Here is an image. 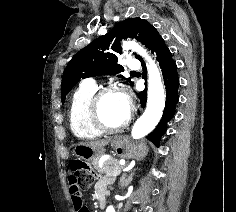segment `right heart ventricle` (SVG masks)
Wrapping results in <instances>:
<instances>
[{
    "instance_id": "1",
    "label": "right heart ventricle",
    "mask_w": 236,
    "mask_h": 212,
    "mask_svg": "<svg viewBox=\"0 0 236 212\" xmlns=\"http://www.w3.org/2000/svg\"><path fill=\"white\" fill-rule=\"evenodd\" d=\"M96 85L83 83L73 93L69 106V124L73 134L79 139H93L101 136L89 117V104L96 92Z\"/></svg>"
}]
</instances>
